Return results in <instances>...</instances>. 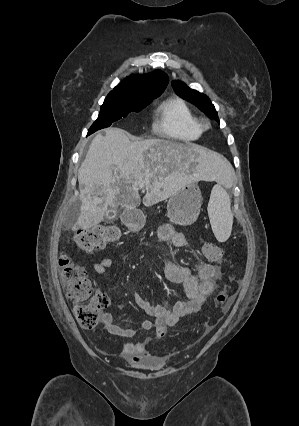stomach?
Wrapping results in <instances>:
<instances>
[{
  "mask_svg": "<svg viewBox=\"0 0 299 426\" xmlns=\"http://www.w3.org/2000/svg\"><path fill=\"white\" fill-rule=\"evenodd\" d=\"M202 200L201 191L196 184H187L180 188L168 200L170 220L181 226L193 224L200 214Z\"/></svg>",
  "mask_w": 299,
  "mask_h": 426,
  "instance_id": "stomach-1",
  "label": "stomach"
}]
</instances>
